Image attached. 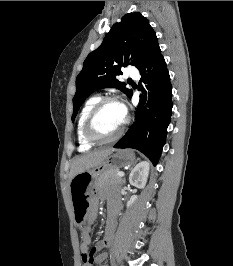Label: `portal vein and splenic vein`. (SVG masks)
<instances>
[{"instance_id":"obj_1","label":"portal vein and splenic vein","mask_w":233,"mask_h":266,"mask_svg":"<svg viewBox=\"0 0 233 266\" xmlns=\"http://www.w3.org/2000/svg\"><path fill=\"white\" fill-rule=\"evenodd\" d=\"M117 175L120 176V177H123L124 176V172L120 171V172L117 173Z\"/></svg>"}]
</instances>
